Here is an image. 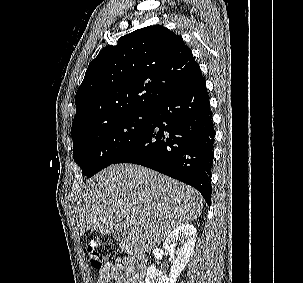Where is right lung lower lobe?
I'll list each match as a JSON object with an SVG mask.
<instances>
[{"instance_id": "right-lung-lower-lobe-1", "label": "right lung lower lobe", "mask_w": 303, "mask_h": 283, "mask_svg": "<svg viewBox=\"0 0 303 283\" xmlns=\"http://www.w3.org/2000/svg\"><path fill=\"white\" fill-rule=\"evenodd\" d=\"M203 76L150 110L146 131L116 163L151 168L196 188L211 203L214 129Z\"/></svg>"}]
</instances>
